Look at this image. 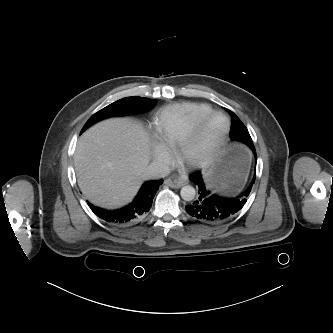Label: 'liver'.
I'll list each match as a JSON object with an SVG mask.
<instances>
[{
  "label": "liver",
  "mask_w": 333,
  "mask_h": 333,
  "mask_svg": "<svg viewBox=\"0 0 333 333\" xmlns=\"http://www.w3.org/2000/svg\"><path fill=\"white\" fill-rule=\"evenodd\" d=\"M149 162V138L141 123L102 121L78 140L74 166L82 193L93 204L113 208L130 201Z\"/></svg>",
  "instance_id": "6515ba94"
}]
</instances>
